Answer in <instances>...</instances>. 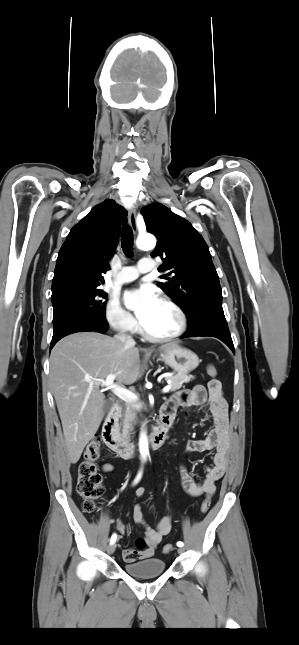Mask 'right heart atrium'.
Listing matches in <instances>:
<instances>
[{"mask_svg": "<svg viewBox=\"0 0 299 645\" xmlns=\"http://www.w3.org/2000/svg\"><path fill=\"white\" fill-rule=\"evenodd\" d=\"M105 319L111 328L119 332H133L137 328L135 319L115 299L107 303Z\"/></svg>", "mask_w": 299, "mask_h": 645, "instance_id": "1", "label": "right heart atrium"}]
</instances>
